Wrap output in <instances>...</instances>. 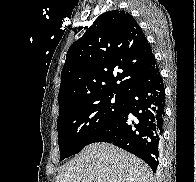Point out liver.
Segmentation results:
<instances>
[{"label":"liver","mask_w":196,"mask_h":182,"mask_svg":"<svg viewBox=\"0 0 196 182\" xmlns=\"http://www.w3.org/2000/svg\"><path fill=\"white\" fill-rule=\"evenodd\" d=\"M151 169L136 156L108 143L86 146L56 182H152Z\"/></svg>","instance_id":"1"}]
</instances>
